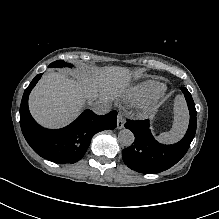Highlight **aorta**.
<instances>
[{
    "label": "aorta",
    "instance_id": "aorta-1",
    "mask_svg": "<svg viewBox=\"0 0 219 219\" xmlns=\"http://www.w3.org/2000/svg\"><path fill=\"white\" fill-rule=\"evenodd\" d=\"M135 140L134 134L129 129H122L118 133V142L125 147H129Z\"/></svg>",
    "mask_w": 219,
    "mask_h": 219
}]
</instances>
